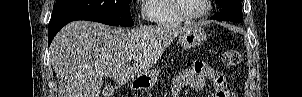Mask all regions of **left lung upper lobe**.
<instances>
[{"instance_id":"1","label":"left lung upper lobe","mask_w":302,"mask_h":97,"mask_svg":"<svg viewBox=\"0 0 302 97\" xmlns=\"http://www.w3.org/2000/svg\"><path fill=\"white\" fill-rule=\"evenodd\" d=\"M222 10L213 16L216 20L241 22L242 5L240 0H215Z\"/></svg>"}]
</instances>
